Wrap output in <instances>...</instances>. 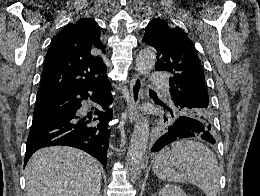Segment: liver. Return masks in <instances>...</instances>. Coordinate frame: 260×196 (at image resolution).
I'll return each instance as SVG.
<instances>
[{"mask_svg":"<svg viewBox=\"0 0 260 196\" xmlns=\"http://www.w3.org/2000/svg\"><path fill=\"white\" fill-rule=\"evenodd\" d=\"M99 166L98 160L76 148H42L25 168L26 196H99Z\"/></svg>","mask_w":260,"mask_h":196,"instance_id":"obj_1","label":"liver"}]
</instances>
